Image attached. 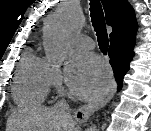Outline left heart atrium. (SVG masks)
Masks as SVG:
<instances>
[{
	"label": "left heart atrium",
	"instance_id": "1",
	"mask_svg": "<svg viewBox=\"0 0 151 131\" xmlns=\"http://www.w3.org/2000/svg\"><path fill=\"white\" fill-rule=\"evenodd\" d=\"M109 72L96 56L77 53L70 63L68 84L74 95L90 100L100 96L106 89Z\"/></svg>",
	"mask_w": 151,
	"mask_h": 131
}]
</instances>
